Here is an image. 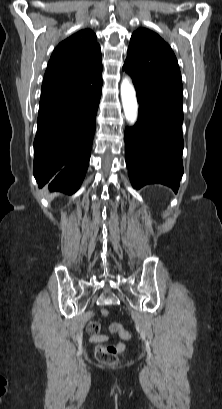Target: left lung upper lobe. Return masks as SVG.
I'll use <instances>...</instances> for the list:
<instances>
[{
  "instance_id": "left-lung-upper-lobe-1",
  "label": "left lung upper lobe",
  "mask_w": 222,
  "mask_h": 409,
  "mask_svg": "<svg viewBox=\"0 0 222 409\" xmlns=\"http://www.w3.org/2000/svg\"><path fill=\"white\" fill-rule=\"evenodd\" d=\"M123 70L140 84L183 102L177 59L171 47L155 32L140 28L132 34Z\"/></svg>"
}]
</instances>
